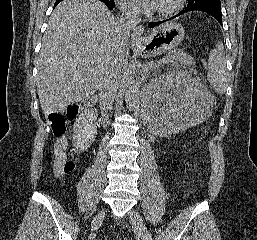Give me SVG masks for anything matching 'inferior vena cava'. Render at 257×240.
Returning a JSON list of instances; mask_svg holds the SVG:
<instances>
[{
  "instance_id": "602c4592",
  "label": "inferior vena cava",
  "mask_w": 257,
  "mask_h": 240,
  "mask_svg": "<svg viewBox=\"0 0 257 240\" xmlns=\"http://www.w3.org/2000/svg\"><path fill=\"white\" fill-rule=\"evenodd\" d=\"M121 17L117 22V43H123L127 40L130 31L139 23L140 12L138 7L130 2L124 3L120 7ZM121 81V68L117 58L106 73L101 85L99 86L100 101L103 112L111 109L116 97L117 90Z\"/></svg>"
}]
</instances>
